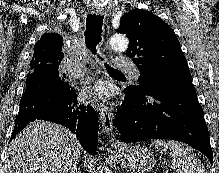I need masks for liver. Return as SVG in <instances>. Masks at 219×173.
Segmentation results:
<instances>
[{"instance_id": "6515ba94", "label": "liver", "mask_w": 219, "mask_h": 173, "mask_svg": "<svg viewBox=\"0 0 219 173\" xmlns=\"http://www.w3.org/2000/svg\"><path fill=\"white\" fill-rule=\"evenodd\" d=\"M4 173H65L77 164L82 147L65 127L36 120L11 142Z\"/></svg>"}]
</instances>
